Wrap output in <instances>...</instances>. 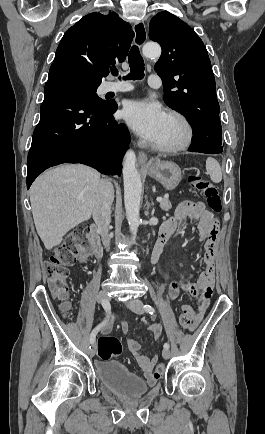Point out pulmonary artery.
<instances>
[{"label": "pulmonary artery", "instance_id": "1", "mask_svg": "<svg viewBox=\"0 0 265 434\" xmlns=\"http://www.w3.org/2000/svg\"><path fill=\"white\" fill-rule=\"evenodd\" d=\"M159 80H160L159 77L156 75L150 78V81H152L155 84L158 83ZM114 86L115 87L110 88V91L126 92L129 91V89L126 87H139V84H126L125 81H116Z\"/></svg>", "mask_w": 265, "mask_h": 434}]
</instances>
